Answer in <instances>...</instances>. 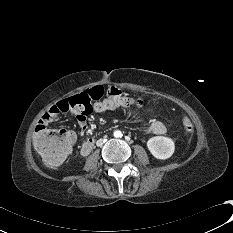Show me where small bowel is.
I'll use <instances>...</instances> for the list:
<instances>
[{
    "label": "small bowel",
    "mask_w": 233,
    "mask_h": 233,
    "mask_svg": "<svg viewBox=\"0 0 233 233\" xmlns=\"http://www.w3.org/2000/svg\"><path fill=\"white\" fill-rule=\"evenodd\" d=\"M122 110L124 112H133L138 118H143L148 113V105L140 98L127 96L125 92L118 86H113L107 91V97L95 102L89 111L64 108L61 102L51 106L38 121L37 127L47 128V126L55 121L61 113L69 111L73 114L79 123L78 132L84 134L87 131V117L93 114H101L108 111ZM167 128L161 121H151L144 127L147 134L162 135L165 134ZM96 147L94 138H87L78 146V151L83 156H88Z\"/></svg>",
    "instance_id": "c3829d8e"
}]
</instances>
